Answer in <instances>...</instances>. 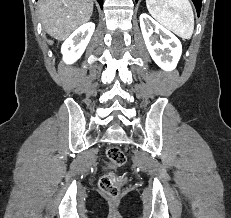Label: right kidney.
<instances>
[{
  "instance_id": "obj_1",
  "label": "right kidney",
  "mask_w": 231,
  "mask_h": 218,
  "mask_svg": "<svg viewBox=\"0 0 231 218\" xmlns=\"http://www.w3.org/2000/svg\"><path fill=\"white\" fill-rule=\"evenodd\" d=\"M94 29V23H85L66 39L61 47L63 61L66 64H72L81 57L91 39Z\"/></svg>"
}]
</instances>
